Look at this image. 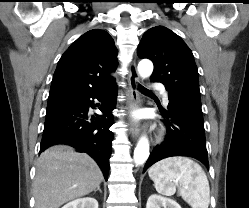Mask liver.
<instances>
[{"label": "liver", "instance_id": "6515ba94", "mask_svg": "<svg viewBox=\"0 0 249 208\" xmlns=\"http://www.w3.org/2000/svg\"><path fill=\"white\" fill-rule=\"evenodd\" d=\"M103 180L97 163L67 145H55L38 158L33 183L35 208H59L88 195Z\"/></svg>", "mask_w": 249, "mask_h": 208}]
</instances>
